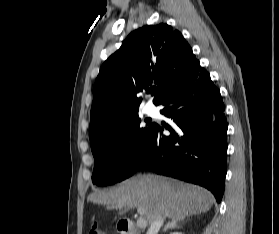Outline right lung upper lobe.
Wrapping results in <instances>:
<instances>
[{"label": "right lung upper lobe", "instance_id": "obj_1", "mask_svg": "<svg viewBox=\"0 0 279 234\" xmlns=\"http://www.w3.org/2000/svg\"><path fill=\"white\" fill-rule=\"evenodd\" d=\"M199 61L182 34L160 23L139 28L102 65L94 85L90 144L138 113L137 93L153 86L159 105Z\"/></svg>", "mask_w": 279, "mask_h": 234}]
</instances>
